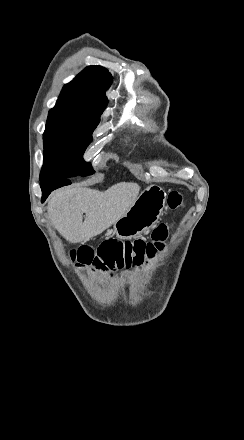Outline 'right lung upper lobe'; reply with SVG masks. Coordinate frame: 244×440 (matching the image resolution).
Returning a JSON list of instances; mask_svg holds the SVG:
<instances>
[{"label":"right lung upper lobe","mask_w":244,"mask_h":440,"mask_svg":"<svg viewBox=\"0 0 244 440\" xmlns=\"http://www.w3.org/2000/svg\"><path fill=\"white\" fill-rule=\"evenodd\" d=\"M112 83V75L101 66H88L72 82L63 87L56 105L104 110L105 95Z\"/></svg>","instance_id":"cb5924a9"}]
</instances>
